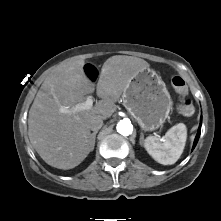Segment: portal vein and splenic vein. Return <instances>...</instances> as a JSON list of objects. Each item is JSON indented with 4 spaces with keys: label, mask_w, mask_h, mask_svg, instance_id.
Returning <instances> with one entry per match:
<instances>
[{
    "label": "portal vein and splenic vein",
    "mask_w": 221,
    "mask_h": 221,
    "mask_svg": "<svg viewBox=\"0 0 221 221\" xmlns=\"http://www.w3.org/2000/svg\"><path fill=\"white\" fill-rule=\"evenodd\" d=\"M93 106V99L87 98L83 103L77 104L75 107L71 109V112L76 113L82 110H90Z\"/></svg>",
    "instance_id": "obj_1"
}]
</instances>
